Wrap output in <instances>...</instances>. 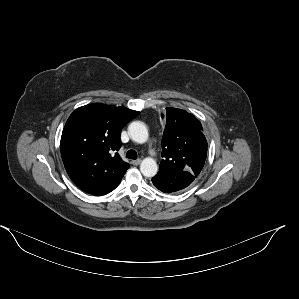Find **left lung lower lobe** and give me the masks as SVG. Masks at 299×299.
I'll return each mask as SVG.
<instances>
[{
  "instance_id": "left-lung-lower-lobe-1",
  "label": "left lung lower lobe",
  "mask_w": 299,
  "mask_h": 299,
  "mask_svg": "<svg viewBox=\"0 0 299 299\" xmlns=\"http://www.w3.org/2000/svg\"><path fill=\"white\" fill-rule=\"evenodd\" d=\"M195 177L186 171H159L152 178L154 186L162 192L172 193L186 188Z\"/></svg>"
}]
</instances>
